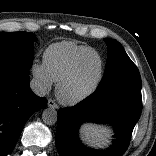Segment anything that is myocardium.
<instances>
[{"label":"myocardium","instance_id":"obj_1","mask_svg":"<svg viewBox=\"0 0 156 156\" xmlns=\"http://www.w3.org/2000/svg\"><path fill=\"white\" fill-rule=\"evenodd\" d=\"M90 54H96L100 60V73L96 82L84 93L76 97H72V98L67 97L64 94V90L66 86L74 78L80 63ZM104 75H105V62H104L102 55L95 49L91 51H86L75 59V61L73 62V64L71 65L67 73L59 80V82L57 83V87H56V96L58 100L64 105H67V106L78 105L82 103L83 101L87 100L88 98H90L93 94L97 92V90L99 89V87L101 86L103 82Z\"/></svg>","mask_w":156,"mask_h":156}]
</instances>
